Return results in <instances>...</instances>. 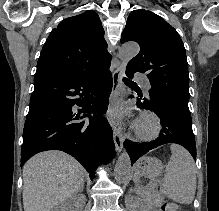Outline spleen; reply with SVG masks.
I'll list each match as a JSON object with an SVG mask.
<instances>
[{
  "label": "spleen",
  "mask_w": 219,
  "mask_h": 211,
  "mask_svg": "<svg viewBox=\"0 0 219 211\" xmlns=\"http://www.w3.org/2000/svg\"><path fill=\"white\" fill-rule=\"evenodd\" d=\"M170 149L172 155L166 165L160 191L178 203H192L196 191L195 161L189 151L178 143H172Z\"/></svg>",
  "instance_id": "spleen-1"
}]
</instances>
